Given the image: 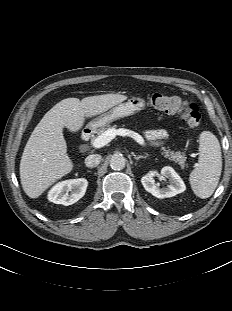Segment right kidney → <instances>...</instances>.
I'll return each mask as SVG.
<instances>
[{
  "label": "right kidney",
  "mask_w": 232,
  "mask_h": 311,
  "mask_svg": "<svg viewBox=\"0 0 232 311\" xmlns=\"http://www.w3.org/2000/svg\"><path fill=\"white\" fill-rule=\"evenodd\" d=\"M87 186L88 182L85 178L65 180L51 188L48 199L55 204L68 206L84 196Z\"/></svg>",
  "instance_id": "obj_1"
}]
</instances>
